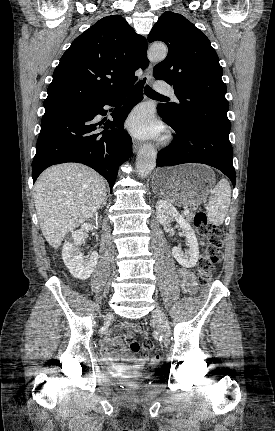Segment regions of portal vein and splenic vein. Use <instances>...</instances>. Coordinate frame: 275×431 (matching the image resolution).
<instances>
[{
	"label": "portal vein and splenic vein",
	"instance_id": "1",
	"mask_svg": "<svg viewBox=\"0 0 275 431\" xmlns=\"http://www.w3.org/2000/svg\"><path fill=\"white\" fill-rule=\"evenodd\" d=\"M188 213H189V208L184 207L183 214H184V215H186V214H188Z\"/></svg>",
	"mask_w": 275,
	"mask_h": 431
}]
</instances>
